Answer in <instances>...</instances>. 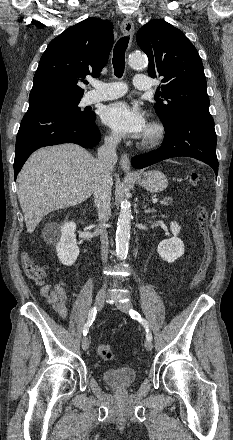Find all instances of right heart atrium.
Segmentation results:
<instances>
[{
    "label": "right heart atrium",
    "mask_w": 233,
    "mask_h": 440,
    "mask_svg": "<svg viewBox=\"0 0 233 440\" xmlns=\"http://www.w3.org/2000/svg\"><path fill=\"white\" fill-rule=\"evenodd\" d=\"M107 140H108L109 142H114V141H115V136L112 135V134H110V135L107 136Z\"/></svg>",
    "instance_id": "1"
}]
</instances>
